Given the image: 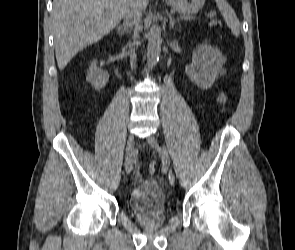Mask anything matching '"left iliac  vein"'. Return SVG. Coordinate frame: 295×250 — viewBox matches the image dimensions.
Here are the masks:
<instances>
[{
	"label": "left iliac vein",
	"mask_w": 295,
	"mask_h": 250,
	"mask_svg": "<svg viewBox=\"0 0 295 250\" xmlns=\"http://www.w3.org/2000/svg\"><path fill=\"white\" fill-rule=\"evenodd\" d=\"M147 142L149 143V145L154 149L156 150L157 152L160 153L161 157H162V160H163V163L165 164L166 166V170L168 172V179H169V182L172 186H174L176 184V179H175V176L174 174L169 170L168 168V164L167 162L169 161V155H168V152L166 153H163V150L161 149L160 145H159V142L158 140L156 139L155 136L151 135L147 138Z\"/></svg>",
	"instance_id": "4c4485c4"
}]
</instances>
